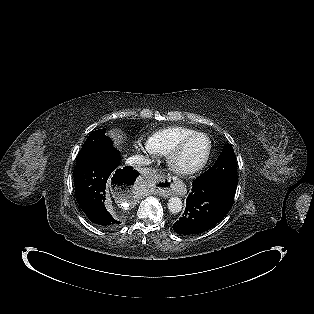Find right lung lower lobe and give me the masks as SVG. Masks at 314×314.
Instances as JSON below:
<instances>
[{
	"instance_id": "98d812e1",
	"label": "right lung lower lobe",
	"mask_w": 314,
	"mask_h": 314,
	"mask_svg": "<svg viewBox=\"0 0 314 314\" xmlns=\"http://www.w3.org/2000/svg\"><path fill=\"white\" fill-rule=\"evenodd\" d=\"M119 152L113 147L76 165L74 184L76 200L88 219L105 229L116 228L121 220L105 207L106 183L117 182L130 189L139 176L132 167H120Z\"/></svg>"
}]
</instances>
